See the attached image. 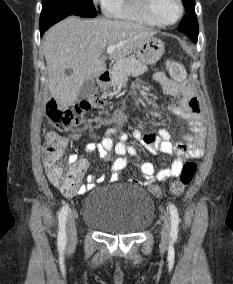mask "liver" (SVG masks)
Instances as JSON below:
<instances>
[{
    "label": "liver",
    "instance_id": "6515ba94",
    "mask_svg": "<svg viewBox=\"0 0 233 284\" xmlns=\"http://www.w3.org/2000/svg\"><path fill=\"white\" fill-rule=\"evenodd\" d=\"M157 31L141 24L71 16L51 27L43 50L47 64L48 88L61 109L77 100L85 80L106 70L105 49L115 45L112 59L136 52ZM66 69H72L66 75Z\"/></svg>",
    "mask_w": 233,
    "mask_h": 284
}]
</instances>
